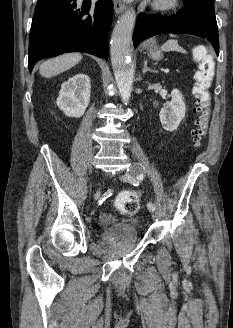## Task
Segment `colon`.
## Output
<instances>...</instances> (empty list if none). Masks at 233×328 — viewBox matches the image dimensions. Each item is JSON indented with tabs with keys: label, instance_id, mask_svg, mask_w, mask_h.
Here are the masks:
<instances>
[{
	"label": "colon",
	"instance_id": "1",
	"mask_svg": "<svg viewBox=\"0 0 233 328\" xmlns=\"http://www.w3.org/2000/svg\"><path fill=\"white\" fill-rule=\"evenodd\" d=\"M199 61L198 70L194 76L192 106L198 115L197 128L192 136L195 144H200L206 135L210 116L209 88L214 77L215 62L212 53L205 48L195 53ZM140 207V196L134 191H125L118 195L116 208L125 215L135 214Z\"/></svg>",
	"mask_w": 233,
	"mask_h": 328
}]
</instances>
